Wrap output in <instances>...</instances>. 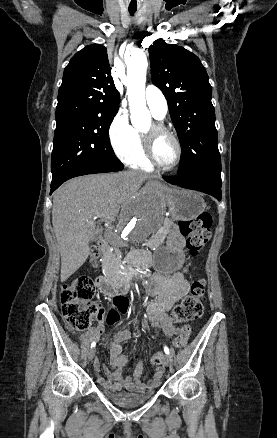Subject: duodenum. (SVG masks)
Here are the masks:
<instances>
[{
    "instance_id": "1",
    "label": "duodenum",
    "mask_w": 277,
    "mask_h": 438,
    "mask_svg": "<svg viewBox=\"0 0 277 438\" xmlns=\"http://www.w3.org/2000/svg\"><path fill=\"white\" fill-rule=\"evenodd\" d=\"M99 246L102 250L107 249V244L104 241L99 242ZM152 263L153 257L150 252L143 250L134 251L130 253L124 261L127 272L114 278H100L97 282L98 288L102 293L108 296L125 294L131 284L130 270L138 266H151Z\"/></svg>"
}]
</instances>
